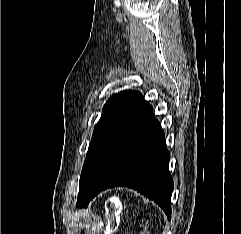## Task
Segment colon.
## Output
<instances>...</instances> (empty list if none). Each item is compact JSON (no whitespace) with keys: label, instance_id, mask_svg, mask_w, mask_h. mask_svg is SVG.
<instances>
[{"label":"colon","instance_id":"obj_1","mask_svg":"<svg viewBox=\"0 0 241 234\" xmlns=\"http://www.w3.org/2000/svg\"><path fill=\"white\" fill-rule=\"evenodd\" d=\"M118 209V207L115 205V204H113V203H111L110 205H109V210L110 211H116Z\"/></svg>","mask_w":241,"mask_h":234}]
</instances>
